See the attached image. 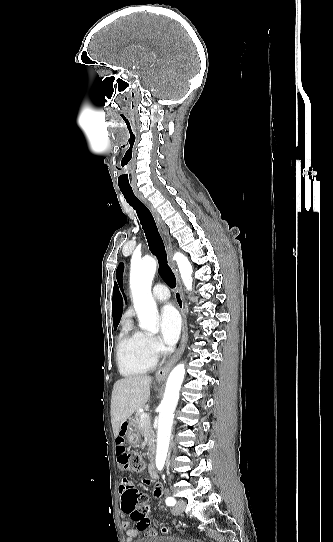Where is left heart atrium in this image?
Instances as JSON below:
<instances>
[{"label":"left heart atrium","mask_w":333,"mask_h":542,"mask_svg":"<svg viewBox=\"0 0 333 542\" xmlns=\"http://www.w3.org/2000/svg\"><path fill=\"white\" fill-rule=\"evenodd\" d=\"M181 321L176 309L167 305L161 311V333L160 337L167 349H171L179 336Z\"/></svg>","instance_id":"1"}]
</instances>
